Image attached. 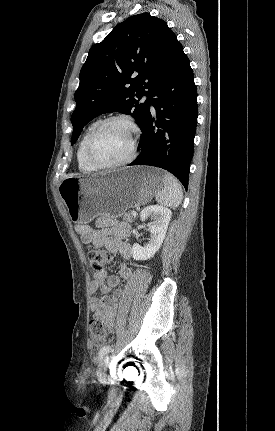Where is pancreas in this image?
I'll list each match as a JSON object with an SVG mask.
<instances>
[{
    "mask_svg": "<svg viewBox=\"0 0 275 431\" xmlns=\"http://www.w3.org/2000/svg\"><path fill=\"white\" fill-rule=\"evenodd\" d=\"M122 216H123V219L125 221H128V222H132L135 219V216L132 215V213H130V212H125V213L122 214Z\"/></svg>",
    "mask_w": 275,
    "mask_h": 431,
    "instance_id": "cf45deb5",
    "label": "pancreas"
}]
</instances>
